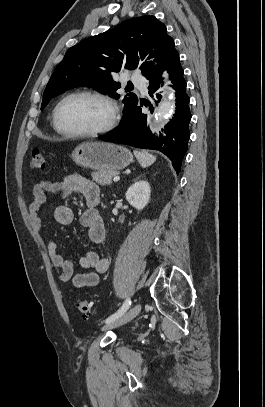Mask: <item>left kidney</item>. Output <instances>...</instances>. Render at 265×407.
Here are the masks:
<instances>
[{"instance_id":"left-kidney-1","label":"left kidney","mask_w":265,"mask_h":407,"mask_svg":"<svg viewBox=\"0 0 265 407\" xmlns=\"http://www.w3.org/2000/svg\"><path fill=\"white\" fill-rule=\"evenodd\" d=\"M150 185L147 181L140 180L132 184L127 192L126 199L137 210H142L150 198Z\"/></svg>"}]
</instances>
